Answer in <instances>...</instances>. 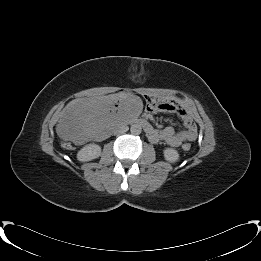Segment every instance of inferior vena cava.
Masks as SVG:
<instances>
[{
  "instance_id": "inferior-vena-cava-1",
  "label": "inferior vena cava",
  "mask_w": 261,
  "mask_h": 261,
  "mask_svg": "<svg viewBox=\"0 0 261 261\" xmlns=\"http://www.w3.org/2000/svg\"><path fill=\"white\" fill-rule=\"evenodd\" d=\"M129 127L126 125V124H121L117 129H116V133H119V134H123L125 133L126 131H128Z\"/></svg>"
}]
</instances>
